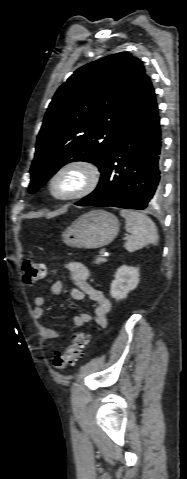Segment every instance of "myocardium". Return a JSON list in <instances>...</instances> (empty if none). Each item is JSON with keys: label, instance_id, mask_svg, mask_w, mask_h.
Instances as JSON below:
<instances>
[{"label": "myocardium", "instance_id": "f54148a6", "mask_svg": "<svg viewBox=\"0 0 187 479\" xmlns=\"http://www.w3.org/2000/svg\"><path fill=\"white\" fill-rule=\"evenodd\" d=\"M68 174L79 176L77 186L66 194H59L56 191L58 182ZM100 170L98 166L87 159L76 158L62 164L49 178L47 191L57 201L68 202L83 198L92 193L100 182Z\"/></svg>", "mask_w": 187, "mask_h": 479}]
</instances>
